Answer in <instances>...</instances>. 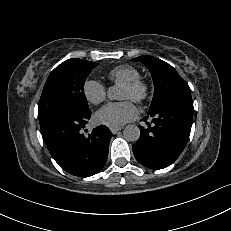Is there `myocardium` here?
Instances as JSON below:
<instances>
[{
	"label": "myocardium",
	"instance_id": "f54148a6",
	"mask_svg": "<svg viewBox=\"0 0 231 231\" xmlns=\"http://www.w3.org/2000/svg\"><path fill=\"white\" fill-rule=\"evenodd\" d=\"M133 92L132 100L136 103L144 102L149 95V85L146 81L138 78L123 84Z\"/></svg>",
	"mask_w": 231,
	"mask_h": 231
}]
</instances>
